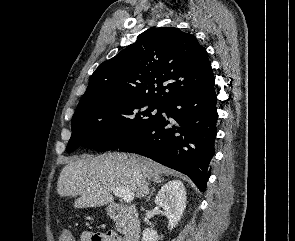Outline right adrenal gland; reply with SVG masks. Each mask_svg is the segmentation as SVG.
Segmentation results:
<instances>
[{"label":"right adrenal gland","mask_w":295,"mask_h":241,"mask_svg":"<svg viewBox=\"0 0 295 241\" xmlns=\"http://www.w3.org/2000/svg\"><path fill=\"white\" fill-rule=\"evenodd\" d=\"M162 181H163V179L161 178V176H156L153 179V182L156 183V184H159ZM154 191H155V187H152V190L150 191L149 196L147 197V201L150 200V198H151V196H152V194H153Z\"/></svg>","instance_id":"right-adrenal-gland-1"}]
</instances>
